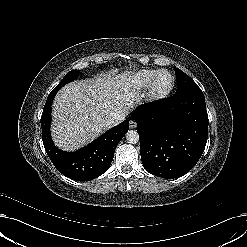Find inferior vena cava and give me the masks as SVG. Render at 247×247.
<instances>
[{"instance_id": "obj_1", "label": "inferior vena cava", "mask_w": 247, "mask_h": 247, "mask_svg": "<svg viewBox=\"0 0 247 247\" xmlns=\"http://www.w3.org/2000/svg\"><path fill=\"white\" fill-rule=\"evenodd\" d=\"M125 118V114L124 113H120V114H113L111 116H109L105 122V126L107 128H111L113 126L118 125L119 123H121Z\"/></svg>"}]
</instances>
